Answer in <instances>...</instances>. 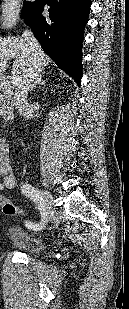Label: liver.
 <instances>
[{"mask_svg":"<svg viewBox=\"0 0 129 309\" xmlns=\"http://www.w3.org/2000/svg\"><path fill=\"white\" fill-rule=\"evenodd\" d=\"M41 65H47L49 58L41 50ZM14 59L11 73L22 81L23 75L29 68V54L24 41L19 37H0V74L4 73L11 60ZM20 83V82H18Z\"/></svg>","mask_w":129,"mask_h":309,"instance_id":"liver-1","label":"liver"}]
</instances>
